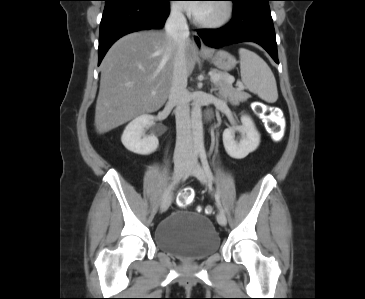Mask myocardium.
I'll use <instances>...</instances> for the list:
<instances>
[{
	"label": "myocardium",
	"instance_id": "1",
	"mask_svg": "<svg viewBox=\"0 0 365 299\" xmlns=\"http://www.w3.org/2000/svg\"><path fill=\"white\" fill-rule=\"evenodd\" d=\"M222 7H223V13L221 16L212 19V20H202L198 18L197 16L194 17V22L201 27L204 28H219L226 24H228L234 16L235 7L231 0H220Z\"/></svg>",
	"mask_w": 365,
	"mask_h": 299
}]
</instances>
